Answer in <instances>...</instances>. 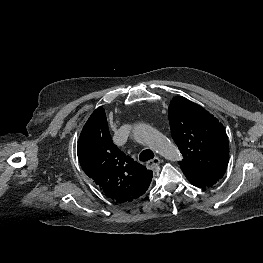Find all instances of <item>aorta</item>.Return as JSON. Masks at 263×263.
Returning <instances> with one entry per match:
<instances>
[{
  "mask_svg": "<svg viewBox=\"0 0 263 263\" xmlns=\"http://www.w3.org/2000/svg\"><path fill=\"white\" fill-rule=\"evenodd\" d=\"M134 137L136 140L150 145L158 153L171 161H179L182 159L177 148L163 135L147 124H137L134 128Z\"/></svg>",
  "mask_w": 263,
  "mask_h": 263,
  "instance_id": "1",
  "label": "aorta"
}]
</instances>
